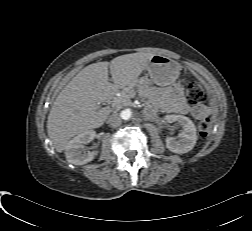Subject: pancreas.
Returning <instances> with one entry per match:
<instances>
[{"label": "pancreas", "instance_id": "pancreas-1", "mask_svg": "<svg viewBox=\"0 0 252 231\" xmlns=\"http://www.w3.org/2000/svg\"><path fill=\"white\" fill-rule=\"evenodd\" d=\"M149 82L143 83L144 90H151L149 87H147V84ZM128 91L123 90L120 94V96L116 97L114 100V107L116 110H119L125 106H128L131 104L130 96L128 95Z\"/></svg>", "mask_w": 252, "mask_h": 231}]
</instances>
